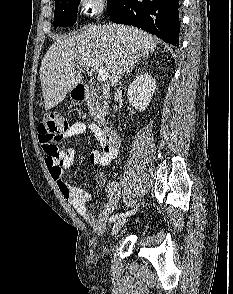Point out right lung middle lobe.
I'll return each mask as SVG.
<instances>
[{"label":"right lung middle lobe","mask_w":233,"mask_h":294,"mask_svg":"<svg viewBox=\"0 0 233 294\" xmlns=\"http://www.w3.org/2000/svg\"><path fill=\"white\" fill-rule=\"evenodd\" d=\"M116 0H107L108 10ZM80 0H55L54 27L72 26L76 22Z\"/></svg>","instance_id":"dd1d6c3e"}]
</instances>
